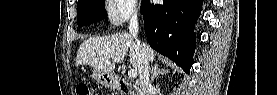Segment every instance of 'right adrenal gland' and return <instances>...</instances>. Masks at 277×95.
<instances>
[{"label": "right adrenal gland", "instance_id": "1", "mask_svg": "<svg viewBox=\"0 0 277 95\" xmlns=\"http://www.w3.org/2000/svg\"><path fill=\"white\" fill-rule=\"evenodd\" d=\"M168 71H166L165 69H160L158 67V65H154L152 66L151 70H150V74H151V82H154L155 77H157L160 74H164Z\"/></svg>", "mask_w": 277, "mask_h": 95}]
</instances>
